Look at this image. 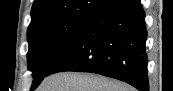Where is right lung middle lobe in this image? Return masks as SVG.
<instances>
[{
  "mask_svg": "<svg viewBox=\"0 0 173 91\" xmlns=\"http://www.w3.org/2000/svg\"><path fill=\"white\" fill-rule=\"evenodd\" d=\"M90 17H66L29 26L27 58L28 68L33 72L32 87H37L40 84L51 64Z\"/></svg>",
  "mask_w": 173,
  "mask_h": 91,
  "instance_id": "right-lung-middle-lobe-1",
  "label": "right lung middle lobe"
}]
</instances>
